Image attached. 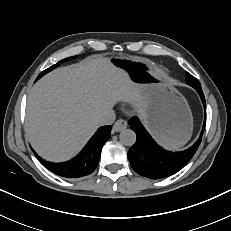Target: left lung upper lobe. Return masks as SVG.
Listing matches in <instances>:
<instances>
[{
    "label": "left lung upper lobe",
    "instance_id": "5c2ea615",
    "mask_svg": "<svg viewBox=\"0 0 231 231\" xmlns=\"http://www.w3.org/2000/svg\"><path fill=\"white\" fill-rule=\"evenodd\" d=\"M186 81H187V84L194 87L196 90L197 89L202 90L199 81L195 77H193L190 73H187Z\"/></svg>",
    "mask_w": 231,
    "mask_h": 231
}]
</instances>
